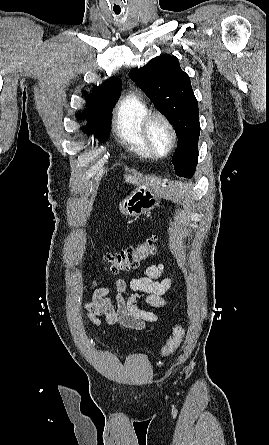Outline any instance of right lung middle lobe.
Wrapping results in <instances>:
<instances>
[{
  "label": "right lung middle lobe",
  "instance_id": "1",
  "mask_svg": "<svg viewBox=\"0 0 269 445\" xmlns=\"http://www.w3.org/2000/svg\"><path fill=\"white\" fill-rule=\"evenodd\" d=\"M114 104L86 109L83 116L89 121V129L98 140L104 141L109 137L110 119ZM86 132V130H84Z\"/></svg>",
  "mask_w": 269,
  "mask_h": 445
}]
</instances>
